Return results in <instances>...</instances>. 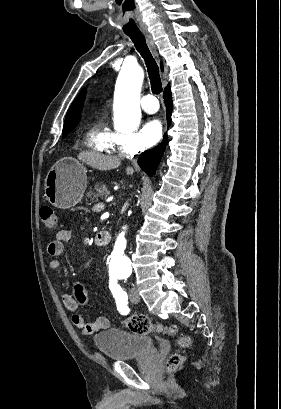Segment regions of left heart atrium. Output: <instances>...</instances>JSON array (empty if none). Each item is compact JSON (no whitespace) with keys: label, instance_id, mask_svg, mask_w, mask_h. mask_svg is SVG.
<instances>
[{"label":"left heart atrium","instance_id":"39dd6f15","mask_svg":"<svg viewBox=\"0 0 281 409\" xmlns=\"http://www.w3.org/2000/svg\"><path fill=\"white\" fill-rule=\"evenodd\" d=\"M162 136V123L156 117H152L144 126L141 138L146 146L156 144Z\"/></svg>","mask_w":281,"mask_h":409}]
</instances>
